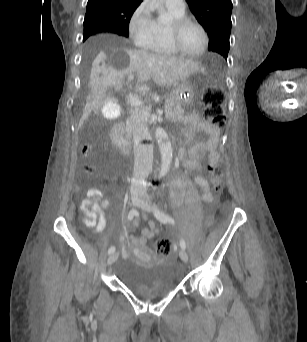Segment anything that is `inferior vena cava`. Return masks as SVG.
Segmentation results:
<instances>
[{
  "instance_id": "602c4592",
  "label": "inferior vena cava",
  "mask_w": 307,
  "mask_h": 342,
  "mask_svg": "<svg viewBox=\"0 0 307 342\" xmlns=\"http://www.w3.org/2000/svg\"><path fill=\"white\" fill-rule=\"evenodd\" d=\"M133 150H134V172L131 180V192H146L147 178L152 172L153 148L142 146L141 140L146 134V128L142 120L138 118L137 112H133Z\"/></svg>"
}]
</instances>
